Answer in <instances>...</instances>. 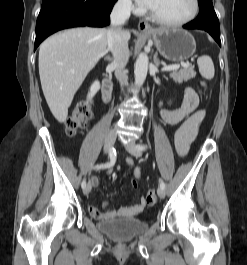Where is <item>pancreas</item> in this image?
Returning a JSON list of instances; mask_svg holds the SVG:
<instances>
[{
    "label": "pancreas",
    "mask_w": 247,
    "mask_h": 265,
    "mask_svg": "<svg viewBox=\"0 0 247 265\" xmlns=\"http://www.w3.org/2000/svg\"><path fill=\"white\" fill-rule=\"evenodd\" d=\"M196 76V72L194 71V68L192 66L185 67L180 70H172L170 73V77L176 82V83H183L187 82L188 80L194 78Z\"/></svg>",
    "instance_id": "cf45deb5"
}]
</instances>
